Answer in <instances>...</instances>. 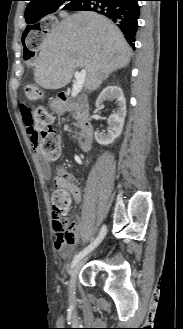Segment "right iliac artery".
<instances>
[{
    "label": "right iliac artery",
    "mask_w": 183,
    "mask_h": 329,
    "mask_svg": "<svg viewBox=\"0 0 183 329\" xmlns=\"http://www.w3.org/2000/svg\"><path fill=\"white\" fill-rule=\"evenodd\" d=\"M106 232H107V228H106L105 225H103L101 230H100V233H99L98 237L88 247H86L84 250L79 252L74 257V259L72 261V264H71V268H73L87 253L92 251L102 241V239L106 235Z\"/></svg>",
    "instance_id": "1"
}]
</instances>
